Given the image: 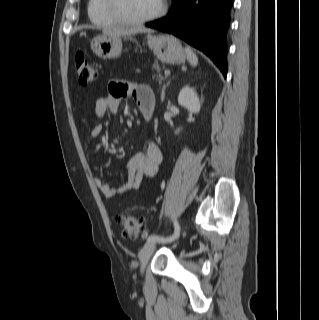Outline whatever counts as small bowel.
I'll return each instance as SVG.
<instances>
[{"label": "small bowel", "instance_id": "c3829d8e", "mask_svg": "<svg viewBox=\"0 0 319 320\" xmlns=\"http://www.w3.org/2000/svg\"><path fill=\"white\" fill-rule=\"evenodd\" d=\"M133 98L142 112H153L154 94L152 88L143 82H130L126 80H113L109 84V92L106 96L96 100L93 114L96 118H102L107 112L116 114L121 101L125 98ZM100 124L94 125L89 132V137L95 139L102 134ZM162 161V153L159 146L149 142L144 151L135 153L127 162L128 178L119 185L113 187L100 177L95 178V183L106 198H113L129 191L140 189L144 177H154Z\"/></svg>", "mask_w": 319, "mask_h": 320}]
</instances>
